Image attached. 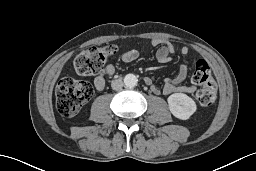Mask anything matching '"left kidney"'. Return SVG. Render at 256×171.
<instances>
[{
  "label": "left kidney",
  "instance_id": "1",
  "mask_svg": "<svg viewBox=\"0 0 256 171\" xmlns=\"http://www.w3.org/2000/svg\"><path fill=\"white\" fill-rule=\"evenodd\" d=\"M171 113L178 119L187 120L196 111L192 98L183 93H174L167 99Z\"/></svg>",
  "mask_w": 256,
  "mask_h": 171
}]
</instances>
